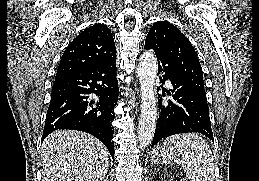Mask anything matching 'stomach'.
Listing matches in <instances>:
<instances>
[{
	"mask_svg": "<svg viewBox=\"0 0 259 181\" xmlns=\"http://www.w3.org/2000/svg\"><path fill=\"white\" fill-rule=\"evenodd\" d=\"M178 155L179 152L174 145L162 144L153 150L151 160L159 164H169L171 161L177 158Z\"/></svg>",
	"mask_w": 259,
	"mask_h": 181,
	"instance_id": "1",
	"label": "stomach"
}]
</instances>
